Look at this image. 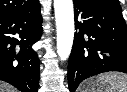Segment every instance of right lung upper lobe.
Segmentation results:
<instances>
[{
	"instance_id": "cb5924a9",
	"label": "right lung upper lobe",
	"mask_w": 127,
	"mask_h": 92,
	"mask_svg": "<svg viewBox=\"0 0 127 92\" xmlns=\"http://www.w3.org/2000/svg\"><path fill=\"white\" fill-rule=\"evenodd\" d=\"M38 4V0H0V18L29 11Z\"/></svg>"
}]
</instances>
